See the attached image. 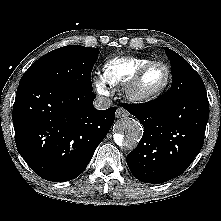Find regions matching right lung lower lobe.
Wrapping results in <instances>:
<instances>
[{"instance_id": "1", "label": "right lung lower lobe", "mask_w": 221, "mask_h": 221, "mask_svg": "<svg viewBox=\"0 0 221 221\" xmlns=\"http://www.w3.org/2000/svg\"><path fill=\"white\" fill-rule=\"evenodd\" d=\"M92 91L51 84L18 86L12 119L16 147L41 178L79 176L111 128L115 107L96 110Z\"/></svg>"}]
</instances>
